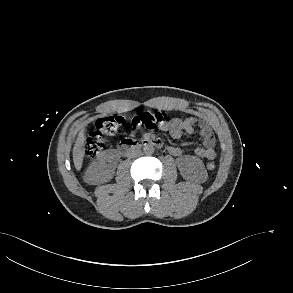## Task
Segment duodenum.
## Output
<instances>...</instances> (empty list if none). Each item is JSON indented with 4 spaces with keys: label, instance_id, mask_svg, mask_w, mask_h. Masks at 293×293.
Returning a JSON list of instances; mask_svg holds the SVG:
<instances>
[{
    "label": "duodenum",
    "instance_id": "obj_1",
    "mask_svg": "<svg viewBox=\"0 0 293 293\" xmlns=\"http://www.w3.org/2000/svg\"><path fill=\"white\" fill-rule=\"evenodd\" d=\"M157 147L161 148L163 143L160 139L146 137L139 141H134L132 139L122 140L118 145V151L123 156H129L134 153L136 150L144 148V147Z\"/></svg>",
    "mask_w": 293,
    "mask_h": 293
}]
</instances>
